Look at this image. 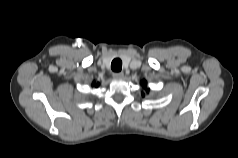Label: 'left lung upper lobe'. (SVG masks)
<instances>
[{"instance_id":"1","label":"left lung upper lobe","mask_w":238,"mask_h":158,"mask_svg":"<svg viewBox=\"0 0 238 158\" xmlns=\"http://www.w3.org/2000/svg\"><path fill=\"white\" fill-rule=\"evenodd\" d=\"M142 86H143V88H144L147 92H149V90L147 89V82H146V80H143V81H142ZM142 96L144 97L145 94L142 93Z\"/></svg>"}]
</instances>
